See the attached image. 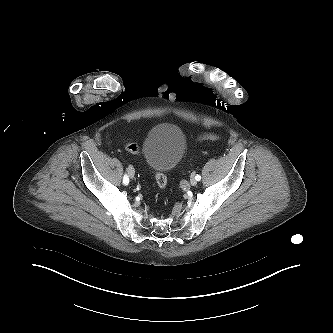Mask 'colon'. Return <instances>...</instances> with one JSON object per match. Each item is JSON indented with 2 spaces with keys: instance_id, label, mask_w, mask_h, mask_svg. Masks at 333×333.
I'll return each instance as SVG.
<instances>
[{
  "instance_id": "1",
  "label": "colon",
  "mask_w": 333,
  "mask_h": 333,
  "mask_svg": "<svg viewBox=\"0 0 333 333\" xmlns=\"http://www.w3.org/2000/svg\"><path fill=\"white\" fill-rule=\"evenodd\" d=\"M202 139L214 141V140H217L218 137L214 136V135H207V136H204ZM126 148L128 151H130L131 153H134V154H140V152H141L139 146L135 143L127 144ZM155 179H156L157 186L161 190H164L167 186L166 175L163 172H156Z\"/></svg>"
}]
</instances>
